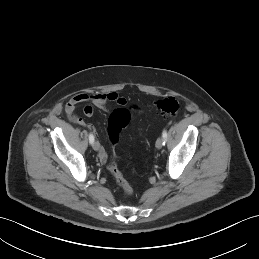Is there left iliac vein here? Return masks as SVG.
Masks as SVG:
<instances>
[{
  "label": "left iliac vein",
  "instance_id": "obj_1",
  "mask_svg": "<svg viewBox=\"0 0 259 259\" xmlns=\"http://www.w3.org/2000/svg\"><path fill=\"white\" fill-rule=\"evenodd\" d=\"M163 138H158L157 140H156V143H155V146H156V148L157 149H161L162 148V146H163Z\"/></svg>",
  "mask_w": 259,
  "mask_h": 259
}]
</instances>
